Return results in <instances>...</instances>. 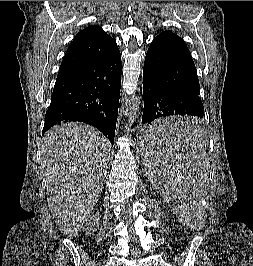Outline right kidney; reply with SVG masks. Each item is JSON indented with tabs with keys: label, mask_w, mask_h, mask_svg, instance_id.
<instances>
[{
	"label": "right kidney",
	"mask_w": 253,
	"mask_h": 266,
	"mask_svg": "<svg viewBox=\"0 0 253 266\" xmlns=\"http://www.w3.org/2000/svg\"><path fill=\"white\" fill-rule=\"evenodd\" d=\"M98 220L97 217H92L90 220L86 223V230L87 234H91L92 232L96 231V228L98 227Z\"/></svg>",
	"instance_id": "obj_1"
}]
</instances>
